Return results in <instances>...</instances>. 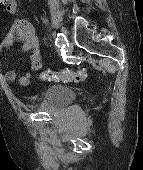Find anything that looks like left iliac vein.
I'll list each match as a JSON object with an SVG mask.
<instances>
[{"mask_svg":"<svg viewBox=\"0 0 143 170\" xmlns=\"http://www.w3.org/2000/svg\"><path fill=\"white\" fill-rule=\"evenodd\" d=\"M61 30H62L63 34L65 35V37H66L68 35V32H67L66 28L62 27ZM66 51H67L68 54L71 53L72 46L71 45H67Z\"/></svg>","mask_w":143,"mask_h":170,"instance_id":"4c4485c4","label":"left iliac vein"}]
</instances>
